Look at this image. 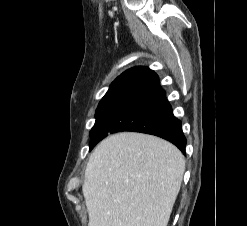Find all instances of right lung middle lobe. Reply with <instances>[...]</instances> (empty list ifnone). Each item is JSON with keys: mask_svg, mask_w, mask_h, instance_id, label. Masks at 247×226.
I'll use <instances>...</instances> for the list:
<instances>
[{"mask_svg": "<svg viewBox=\"0 0 247 226\" xmlns=\"http://www.w3.org/2000/svg\"><path fill=\"white\" fill-rule=\"evenodd\" d=\"M117 80H118V78L110 85L109 90H108L107 93L104 95V97L101 99V101H100V103H99V105H98V107H97L95 125H96L97 122L99 121V119H100V117H101V115H102V113H103V111H104V109H105V107H106V105H107V101H108V99H109V96H110V94H111V92H112L114 86H115L116 83H117ZM95 125H94V127H95ZM94 127H93L92 130L90 131V136L92 135V132H93Z\"/></svg>", "mask_w": 247, "mask_h": 226, "instance_id": "obj_1", "label": "right lung middle lobe"}]
</instances>
